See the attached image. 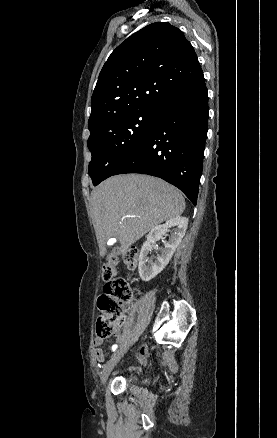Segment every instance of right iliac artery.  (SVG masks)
I'll list each match as a JSON object with an SVG mask.
<instances>
[{
  "instance_id": "1",
  "label": "right iliac artery",
  "mask_w": 277,
  "mask_h": 438,
  "mask_svg": "<svg viewBox=\"0 0 277 438\" xmlns=\"http://www.w3.org/2000/svg\"><path fill=\"white\" fill-rule=\"evenodd\" d=\"M117 348H118V345H117V344H114V345L112 346V351H115Z\"/></svg>"
}]
</instances>
